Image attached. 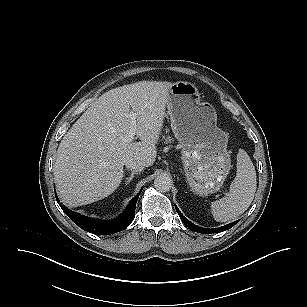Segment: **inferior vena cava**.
<instances>
[{
    "label": "inferior vena cava",
    "instance_id": "602c4592",
    "mask_svg": "<svg viewBox=\"0 0 307 307\" xmlns=\"http://www.w3.org/2000/svg\"><path fill=\"white\" fill-rule=\"evenodd\" d=\"M126 168L130 169L131 171L135 172H141L144 168L145 165L143 162L135 159H128L125 162Z\"/></svg>",
    "mask_w": 307,
    "mask_h": 307
}]
</instances>
